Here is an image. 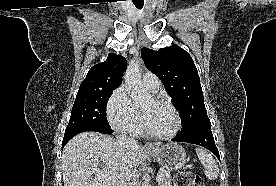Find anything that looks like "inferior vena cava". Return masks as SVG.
I'll return each instance as SVG.
<instances>
[{"label":"inferior vena cava","mask_w":276,"mask_h":186,"mask_svg":"<svg viewBox=\"0 0 276 186\" xmlns=\"http://www.w3.org/2000/svg\"><path fill=\"white\" fill-rule=\"evenodd\" d=\"M118 143L125 148L137 145V141L135 139L124 134L119 136ZM137 178L138 175L136 169H133L132 167L127 168L121 174L118 186H138Z\"/></svg>","instance_id":"602c4592"}]
</instances>
